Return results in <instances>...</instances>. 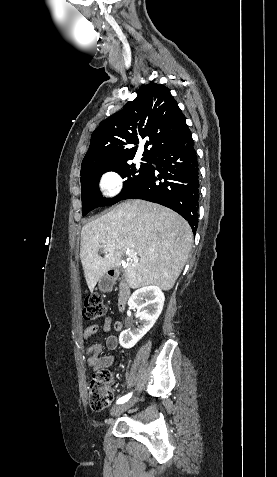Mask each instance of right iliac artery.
<instances>
[{
	"mask_svg": "<svg viewBox=\"0 0 277 477\" xmlns=\"http://www.w3.org/2000/svg\"><path fill=\"white\" fill-rule=\"evenodd\" d=\"M132 396V393H129L123 397H121L120 399L117 400V404H122V403H125L126 401H128Z\"/></svg>",
	"mask_w": 277,
	"mask_h": 477,
	"instance_id": "right-iliac-artery-1",
	"label": "right iliac artery"
}]
</instances>
